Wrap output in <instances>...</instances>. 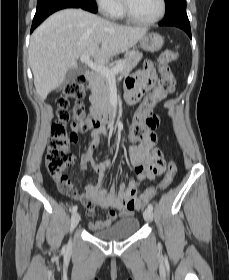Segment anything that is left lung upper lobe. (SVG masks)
Here are the masks:
<instances>
[{
    "mask_svg": "<svg viewBox=\"0 0 229 280\" xmlns=\"http://www.w3.org/2000/svg\"><path fill=\"white\" fill-rule=\"evenodd\" d=\"M166 14L165 17L174 15L180 11H186V0H165Z\"/></svg>",
    "mask_w": 229,
    "mask_h": 280,
    "instance_id": "5c2ea615",
    "label": "left lung upper lobe"
}]
</instances>
